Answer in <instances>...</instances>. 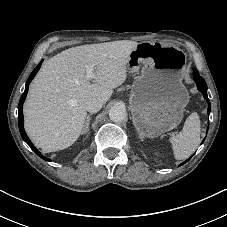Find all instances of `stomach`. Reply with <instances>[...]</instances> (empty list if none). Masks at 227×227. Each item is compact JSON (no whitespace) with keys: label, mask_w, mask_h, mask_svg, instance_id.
<instances>
[{"label":"stomach","mask_w":227,"mask_h":227,"mask_svg":"<svg viewBox=\"0 0 227 227\" xmlns=\"http://www.w3.org/2000/svg\"><path fill=\"white\" fill-rule=\"evenodd\" d=\"M127 69L138 74L129 101L140 136L154 138L176 128L189 101L182 83L184 52L159 42H141L132 50Z\"/></svg>","instance_id":"0dacf381"}]
</instances>
